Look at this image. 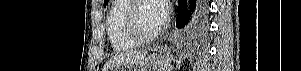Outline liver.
<instances>
[{"mask_svg":"<svg viewBox=\"0 0 301 71\" xmlns=\"http://www.w3.org/2000/svg\"><path fill=\"white\" fill-rule=\"evenodd\" d=\"M147 54V51H132L115 55L105 63L103 71L112 70L115 67L141 61Z\"/></svg>","mask_w":301,"mask_h":71,"instance_id":"obj_1","label":"liver"}]
</instances>
